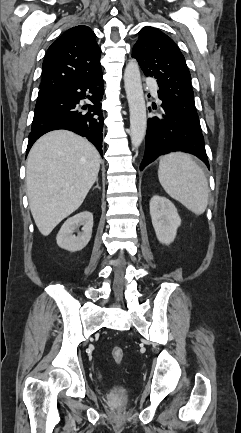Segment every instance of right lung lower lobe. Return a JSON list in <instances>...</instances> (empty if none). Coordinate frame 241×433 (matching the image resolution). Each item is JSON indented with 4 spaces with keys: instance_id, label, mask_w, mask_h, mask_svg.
<instances>
[{
    "instance_id": "1",
    "label": "right lung lower lobe",
    "mask_w": 241,
    "mask_h": 433,
    "mask_svg": "<svg viewBox=\"0 0 241 433\" xmlns=\"http://www.w3.org/2000/svg\"><path fill=\"white\" fill-rule=\"evenodd\" d=\"M103 93L102 73L85 81L65 84L50 93L35 107L27 153L43 134L66 129L86 137L102 155L104 118L100 104ZM85 98H89L93 105L79 107V101ZM86 109L87 112L83 111Z\"/></svg>"
}]
</instances>
